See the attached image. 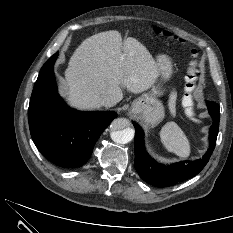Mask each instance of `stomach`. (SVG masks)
Listing matches in <instances>:
<instances>
[{
	"label": "stomach",
	"instance_id": "obj_1",
	"mask_svg": "<svg viewBox=\"0 0 233 233\" xmlns=\"http://www.w3.org/2000/svg\"><path fill=\"white\" fill-rule=\"evenodd\" d=\"M159 83L151 86V90L133 101L131 113L149 126L159 124L164 116V106L158 97L164 94L161 83L172 75V62L166 55H160L157 60Z\"/></svg>",
	"mask_w": 233,
	"mask_h": 233
}]
</instances>
